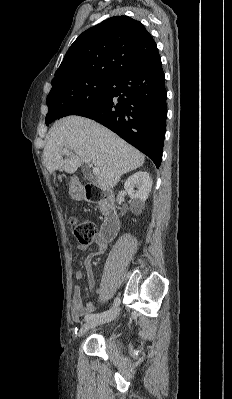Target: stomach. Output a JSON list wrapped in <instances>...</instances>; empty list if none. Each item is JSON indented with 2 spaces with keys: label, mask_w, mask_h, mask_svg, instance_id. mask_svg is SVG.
Listing matches in <instances>:
<instances>
[{
  "label": "stomach",
  "mask_w": 232,
  "mask_h": 399,
  "mask_svg": "<svg viewBox=\"0 0 232 399\" xmlns=\"http://www.w3.org/2000/svg\"><path fill=\"white\" fill-rule=\"evenodd\" d=\"M71 190L75 194L74 198H76V200H81V198H82L81 192H78V190H73L72 186H71ZM78 196H79V198H78Z\"/></svg>",
  "instance_id": "obj_1"
}]
</instances>
